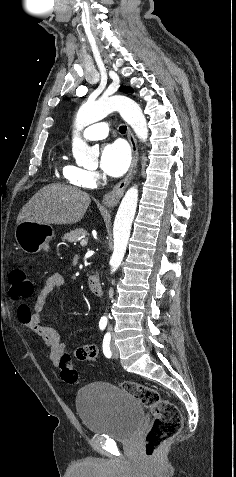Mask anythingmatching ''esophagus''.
<instances>
[{
	"label": "esophagus",
	"instance_id": "1",
	"mask_svg": "<svg viewBox=\"0 0 236 477\" xmlns=\"http://www.w3.org/2000/svg\"><path fill=\"white\" fill-rule=\"evenodd\" d=\"M127 135H128L131 148H132L131 167L126 177L123 180H121L118 184H116L115 187L103 197V203L107 207H113L120 201L126 187L130 183L132 177L134 176L136 172L137 162H138L137 141L133 135L132 130L129 127L127 129Z\"/></svg>",
	"mask_w": 236,
	"mask_h": 477
}]
</instances>
